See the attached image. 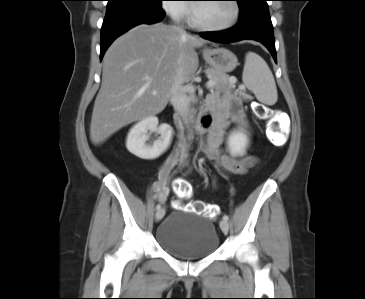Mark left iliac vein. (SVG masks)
Segmentation results:
<instances>
[{
    "mask_svg": "<svg viewBox=\"0 0 365 299\" xmlns=\"http://www.w3.org/2000/svg\"><path fill=\"white\" fill-rule=\"evenodd\" d=\"M220 228L224 233H227L229 230V224L228 221L226 220H221L220 221Z\"/></svg>",
    "mask_w": 365,
    "mask_h": 299,
    "instance_id": "4c4485c4",
    "label": "left iliac vein"
}]
</instances>
